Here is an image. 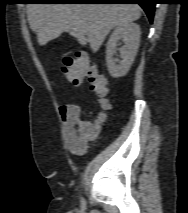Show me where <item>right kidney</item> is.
I'll return each mask as SVG.
<instances>
[{
	"mask_svg": "<svg viewBox=\"0 0 188 213\" xmlns=\"http://www.w3.org/2000/svg\"><path fill=\"white\" fill-rule=\"evenodd\" d=\"M140 34L139 25L133 22L118 25L114 29L106 46L107 68L113 78L128 73L139 48ZM120 40L123 41L124 46L119 49L122 60L118 61L114 58V54Z\"/></svg>",
	"mask_w": 188,
	"mask_h": 213,
	"instance_id": "obj_1",
	"label": "right kidney"
}]
</instances>
